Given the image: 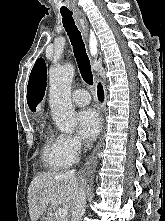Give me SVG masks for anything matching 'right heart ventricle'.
I'll use <instances>...</instances> for the list:
<instances>
[{
    "label": "right heart ventricle",
    "instance_id": "obj_1",
    "mask_svg": "<svg viewBox=\"0 0 165 221\" xmlns=\"http://www.w3.org/2000/svg\"><path fill=\"white\" fill-rule=\"evenodd\" d=\"M42 157L44 165L51 170L66 169L74 162L61 151L59 136H55L51 132H48L44 137Z\"/></svg>",
    "mask_w": 165,
    "mask_h": 221
}]
</instances>
